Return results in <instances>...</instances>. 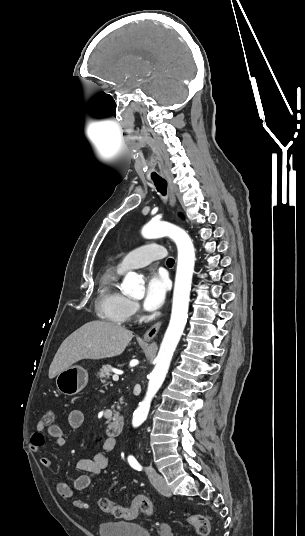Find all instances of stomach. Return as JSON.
<instances>
[{
    "label": "stomach",
    "mask_w": 305,
    "mask_h": 536,
    "mask_svg": "<svg viewBox=\"0 0 305 536\" xmlns=\"http://www.w3.org/2000/svg\"><path fill=\"white\" fill-rule=\"evenodd\" d=\"M88 384L87 370L81 366H71L57 374L56 386L65 396H75Z\"/></svg>",
    "instance_id": "0dacf381"
}]
</instances>
